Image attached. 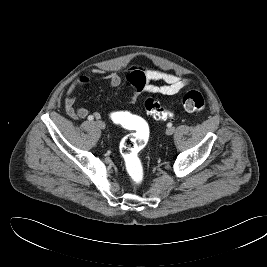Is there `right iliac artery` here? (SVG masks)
Returning <instances> with one entry per match:
<instances>
[{
  "label": "right iliac artery",
  "instance_id": "1",
  "mask_svg": "<svg viewBox=\"0 0 267 267\" xmlns=\"http://www.w3.org/2000/svg\"><path fill=\"white\" fill-rule=\"evenodd\" d=\"M88 120H89V121H93V120H94V117H93V116H89V117H88Z\"/></svg>",
  "mask_w": 267,
  "mask_h": 267
}]
</instances>
